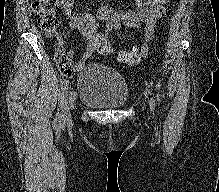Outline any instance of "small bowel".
<instances>
[{"label":"small bowel","instance_id":"small-bowel-1","mask_svg":"<svg viewBox=\"0 0 219 192\" xmlns=\"http://www.w3.org/2000/svg\"><path fill=\"white\" fill-rule=\"evenodd\" d=\"M170 0H134L135 9L132 11H119L109 5L101 6L96 14L80 12L73 8V0H53L56 7L61 9L68 18V27L79 31L86 40V48L81 64L85 63L96 51V42L104 38L106 33L119 31L122 28L142 29L144 43L140 48L135 47L142 56L149 52V43L155 34L157 21L167 12ZM104 23V32L100 33ZM105 39V38H104ZM71 50L68 56H75Z\"/></svg>","mask_w":219,"mask_h":192}]
</instances>
